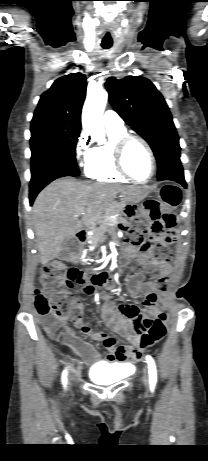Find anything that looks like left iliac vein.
Segmentation results:
<instances>
[{"label": "left iliac vein", "instance_id": "4c4485c4", "mask_svg": "<svg viewBox=\"0 0 208 461\" xmlns=\"http://www.w3.org/2000/svg\"><path fill=\"white\" fill-rule=\"evenodd\" d=\"M149 382V374H148V368L145 367L143 370V383L147 385Z\"/></svg>", "mask_w": 208, "mask_h": 461}]
</instances>
